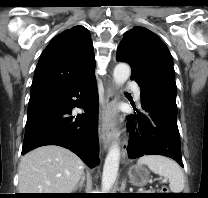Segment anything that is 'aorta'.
Returning a JSON list of instances; mask_svg holds the SVG:
<instances>
[{"instance_id":"762f6f07","label":"aorta","mask_w":208,"mask_h":198,"mask_svg":"<svg viewBox=\"0 0 208 198\" xmlns=\"http://www.w3.org/2000/svg\"><path fill=\"white\" fill-rule=\"evenodd\" d=\"M130 76V67L126 63H119L114 68L113 79L116 85L124 84ZM120 147L117 142H114L106 156L103 174H102V191L109 193L112 189L119 169Z\"/></svg>"}]
</instances>
